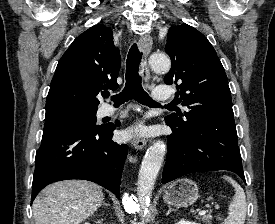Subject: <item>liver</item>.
<instances>
[{
  "mask_svg": "<svg viewBox=\"0 0 275 224\" xmlns=\"http://www.w3.org/2000/svg\"><path fill=\"white\" fill-rule=\"evenodd\" d=\"M102 189L84 180L48 185L33 202L35 224H80L102 205Z\"/></svg>",
  "mask_w": 275,
  "mask_h": 224,
  "instance_id": "obj_1",
  "label": "liver"
}]
</instances>
